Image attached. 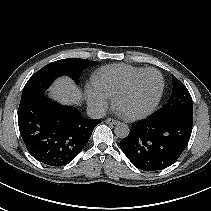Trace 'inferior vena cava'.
Here are the masks:
<instances>
[{"instance_id":"602c4592","label":"inferior vena cava","mask_w":211,"mask_h":211,"mask_svg":"<svg viewBox=\"0 0 211 211\" xmlns=\"http://www.w3.org/2000/svg\"><path fill=\"white\" fill-rule=\"evenodd\" d=\"M87 115L90 118L100 119L106 115V110L100 105H90L87 107Z\"/></svg>"}]
</instances>
